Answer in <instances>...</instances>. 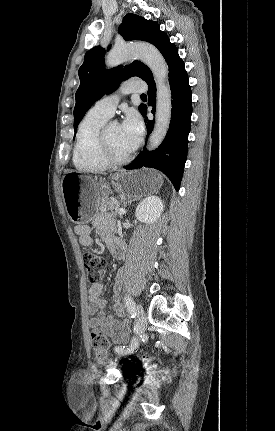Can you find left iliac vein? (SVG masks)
Segmentation results:
<instances>
[{"mask_svg":"<svg viewBox=\"0 0 275 431\" xmlns=\"http://www.w3.org/2000/svg\"><path fill=\"white\" fill-rule=\"evenodd\" d=\"M135 313H136V317H137V326L138 329L141 332H144L146 329V324H147V320H146V314L144 309L142 308L141 305H137L135 308Z\"/></svg>","mask_w":275,"mask_h":431,"instance_id":"obj_1","label":"left iliac vein"}]
</instances>
